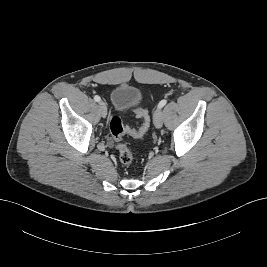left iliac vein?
Masks as SVG:
<instances>
[{
    "label": "left iliac vein",
    "mask_w": 267,
    "mask_h": 267,
    "mask_svg": "<svg viewBox=\"0 0 267 267\" xmlns=\"http://www.w3.org/2000/svg\"><path fill=\"white\" fill-rule=\"evenodd\" d=\"M153 123L156 128H161L163 124V114L160 108H157L153 114Z\"/></svg>",
    "instance_id": "4c4485c4"
}]
</instances>
